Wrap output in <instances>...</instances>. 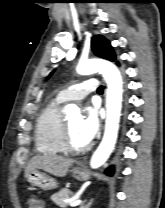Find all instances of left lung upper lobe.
I'll return each instance as SVG.
<instances>
[{
  "mask_svg": "<svg viewBox=\"0 0 165 208\" xmlns=\"http://www.w3.org/2000/svg\"><path fill=\"white\" fill-rule=\"evenodd\" d=\"M91 47L95 55L101 58L110 61H114L116 59L110 43L101 35H96L92 38Z\"/></svg>",
  "mask_w": 165,
  "mask_h": 208,
  "instance_id": "1",
  "label": "left lung upper lobe"
}]
</instances>
